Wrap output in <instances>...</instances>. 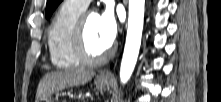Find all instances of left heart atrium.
I'll return each mask as SVG.
<instances>
[{"label": "left heart atrium", "instance_id": "1", "mask_svg": "<svg viewBox=\"0 0 221 102\" xmlns=\"http://www.w3.org/2000/svg\"><path fill=\"white\" fill-rule=\"evenodd\" d=\"M118 30V23L115 14L111 8H106L103 13L98 16V31L100 38L111 45L114 41Z\"/></svg>", "mask_w": 221, "mask_h": 102}]
</instances>
